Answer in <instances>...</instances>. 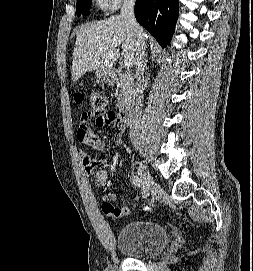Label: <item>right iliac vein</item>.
Returning a JSON list of instances; mask_svg holds the SVG:
<instances>
[{
    "label": "right iliac vein",
    "instance_id": "right-iliac-vein-1",
    "mask_svg": "<svg viewBox=\"0 0 253 271\" xmlns=\"http://www.w3.org/2000/svg\"><path fill=\"white\" fill-rule=\"evenodd\" d=\"M139 175L144 188V194L148 196L157 186L147 168L142 164L139 166Z\"/></svg>",
    "mask_w": 253,
    "mask_h": 271
}]
</instances>
